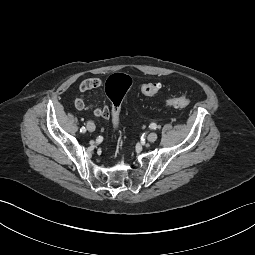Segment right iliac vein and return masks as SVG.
<instances>
[{"mask_svg": "<svg viewBox=\"0 0 255 255\" xmlns=\"http://www.w3.org/2000/svg\"><path fill=\"white\" fill-rule=\"evenodd\" d=\"M87 129H88V131H90V132H93V131H95V124L93 123V122H88L87 123Z\"/></svg>", "mask_w": 255, "mask_h": 255, "instance_id": "right-iliac-vein-1", "label": "right iliac vein"}]
</instances>
